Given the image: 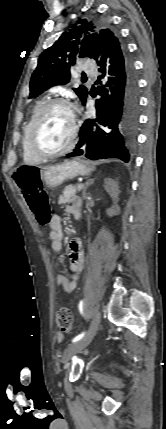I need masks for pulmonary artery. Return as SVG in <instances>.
Wrapping results in <instances>:
<instances>
[{
  "label": "pulmonary artery",
  "instance_id": "obj_1",
  "mask_svg": "<svg viewBox=\"0 0 166 429\" xmlns=\"http://www.w3.org/2000/svg\"><path fill=\"white\" fill-rule=\"evenodd\" d=\"M84 73L86 75H89V76L93 75V73H94V67L93 66H86L84 68Z\"/></svg>",
  "mask_w": 166,
  "mask_h": 429
}]
</instances>
